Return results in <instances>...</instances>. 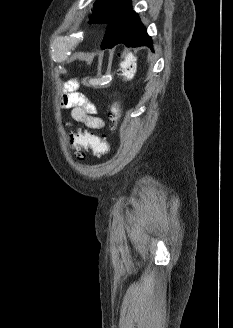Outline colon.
Returning a JSON list of instances; mask_svg holds the SVG:
<instances>
[{
    "instance_id": "5ec220e1",
    "label": "colon",
    "mask_w": 233,
    "mask_h": 328,
    "mask_svg": "<svg viewBox=\"0 0 233 328\" xmlns=\"http://www.w3.org/2000/svg\"><path fill=\"white\" fill-rule=\"evenodd\" d=\"M135 70V59L132 54L123 55L119 63V75L129 80L132 78ZM110 117L114 125H117L121 118V104L119 101L114 102L111 108ZM70 146L74 149L77 161H82L86 157L87 151H92L95 156L105 155L109 147L102 138L89 133H81L70 138Z\"/></svg>"
}]
</instances>
